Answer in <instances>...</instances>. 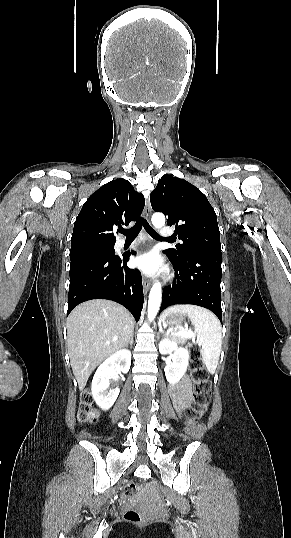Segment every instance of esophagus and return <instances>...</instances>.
Wrapping results in <instances>:
<instances>
[{"label":"esophagus","instance_id":"34e87169","mask_svg":"<svg viewBox=\"0 0 291 538\" xmlns=\"http://www.w3.org/2000/svg\"><path fill=\"white\" fill-rule=\"evenodd\" d=\"M151 213H152L151 202L150 200H147L146 205H145V211H144V216L147 220L150 219ZM142 283H143L144 291L147 292L151 287V280L146 277H143Z\"/></svg>","mask_w":291,"mask_h":538}]
</instances>
